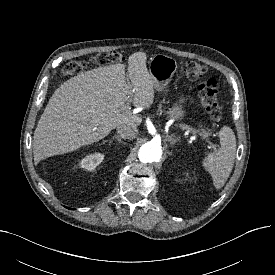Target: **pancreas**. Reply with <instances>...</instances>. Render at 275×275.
Instances as JSON below:
<instances>
[{"mask_svg": "<svg viewBox=\"0 0 275 275\" xmlns=\"http://www.w3.org/2000/svg\"><path fill=\"white\" fill-rule=\"evenodd\" d=\"M200 135H201L204 139H206V138H208L209 133H207L206 131H203V132H200Z\"/></svg>", "mask_w": 275, "mask_h": 275, "instance_id": "cf45deb5", "label": "pancreas"}]
</instances>
